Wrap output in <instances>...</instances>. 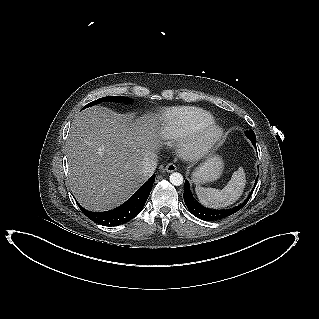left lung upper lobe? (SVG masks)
I'll return each mask as SVG.
<instances>
[{
    "label": "left lung upper lobe",
    "instance_id": "5c2ea615",
    "mask_svg": "<svg viewBox=\"0 0 319 319\" xmlns=\"http://www.w3.org/2000/svg\"><path fill=\"white\" fill-rule=\"evenodd\" d=\"M246 136H247L252 142H256V137H255V133L253 132V130H249L248 132H246Z\"/></svg>",
    "mask_w": 319,
    "mask_h": 319
}]
</instances>
